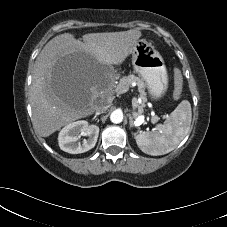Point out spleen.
Listing matches in <instances>:
<instances>
[{"label": "spleen", "mask_w": 227, "mask_h": 227, "mask_svg": "<svg viewBox=\"0 0 227 227\" xmlns=\"http://www.w3.org/2000/svg\"><path fill=\"white\" fill-rule=\"evenodd\" d=\"M191 119V104L189 101L183 100L158 131L136 134V143L146 154L153 156L167 154L174 150L187 135Z\"/></svg>", "instance_id": "obj_1"}]
</instances>
